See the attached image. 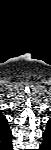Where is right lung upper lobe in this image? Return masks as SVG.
I'll return each mask as SVG.
<instances>
[{"label":"right lung upper lobe","mask_w":51,"mask_h":150,"mask_svg":"<svg viewBox=\"0 0 51 150\" xmlns=\"http://www.w3.org/2000/svg\"><path fill=\"white\" fill-rule=\"evenodd\" d=\"M12 133L8 126L6 117L0 113V148H5L11 143Z\"/></svg>","instance_id":"1"}]
</instances>
